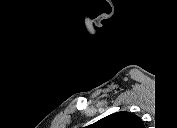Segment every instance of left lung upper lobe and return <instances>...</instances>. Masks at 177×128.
Wrapping results in <instances>:
<instances>
[{
  "label": "left lung upper lobe",
  "instance_id": "1",
  "mask_svg": "<svg viewBox=\"0 0 177 128\" xmlns=\"http://www.w3.org/2000/svg\"><path fill=\"white\" fill-rule=\"evenodd\" d=\"M96 124L99 128H144L142 120L127 111L113 113Z\"/></svg>",
  "mask_w": 177,
  "mask_h": 128
}]
</instances>
